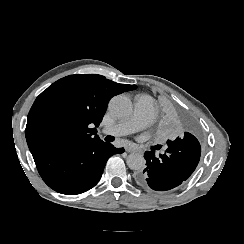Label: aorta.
Masks as SVG:
<instances>
[{"mask_svg": "<svg viewBox=\"0 0 244 244\" xmlns=\"http://www.w3.org/2000/svg\"><path fill=\"white\" fill-rule=\"evenodd\" d=\"M110 113L117 118L128 117L132 113V102L125 95H116L111 98L108 105ZM127 165L132 170H142L145 167V159L139 153H132L127 157Z\"/></svg>", "mask_w": 244, "mask_h": 244, "instance_id": "1", "label": "aorta"}]
</instances>
